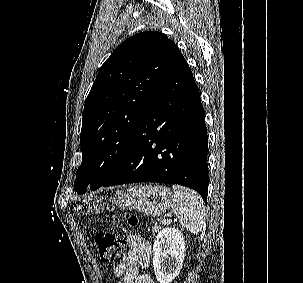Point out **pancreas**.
I'll return each instance as SVG.
<instances>
[{
    "label": "pancreas",
    "instance_id": "obj_1",
    "mask_svg": "<svg viewBox=\"0 0 303 283\" xmlns=\"http://www.w3.org/2000/svg\"><path fill=\"white\" fill-rule=\"evenodd\" d=\"M160 230H161V227L158 226L157 224H155L153 229H152V232H153V234H157V233L160 232Z\"/></svg>",
    "mask_w": 303,
    "mask_h": 283
}]
</instances>
